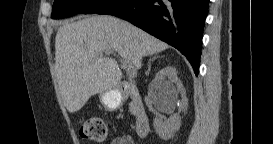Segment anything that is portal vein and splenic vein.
Returning <instances> with one entry per match:
<instances>
[{
  "mask_svg": "<svg viewBox=\"0 0 273 144\" xmlns=\"http://www.w3.org/2000/svg\"><path fill=\"white\" fill-rule=\"evenodd\" d=\"M107 54L112 53L111 51H107ZM124 68L127 71V74L129 75L130 78H134L136 77V71L133 69V67L131 66V64L128 61H124L123 62Z\"/></svg>",
  "mask_w": 273,
  "mask_h": 144,
  "instance_id": "portal-vein-and-splenic-vein-1",
  "label": "portal vein and splenic vein"
}]
</instances>
